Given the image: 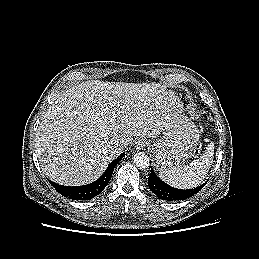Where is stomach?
<instances>
[{
    "label": "stomach",
    "instance_id": "stomach-1",
    "mask_svg": "<svg viewBox=\"0 0 259 259\" xmlns=\"http://www.w3.org/2000/svg\"><path fill=\"white\" fill-rule=\"evenodd\" d=\"M167 99L169 110L162 137L150 145L154 166L160 171L179 168L192 155L200 136L196 125L185 116L180 99L173 92Z\"/></svg>",
    "mask_w": 259,
    "mask_h": 259
}]
</instances>
